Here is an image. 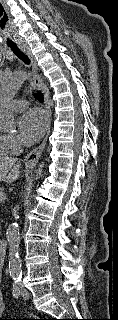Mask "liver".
<instances>
[{
    "label": "liver",
    "instance_id": "6515ba94",
    "mask_svg": "<svg viewBox=\"0 0 118 320\" xmlns=\"http://www.w3.org/2000/svg\"><path fill=\"white\" fill-rule=\"evenodd\" d=\"M21 164L16 158L0 157V182H14L21 177Z\"/></svg>",
    "mask_w": 118,
    "mask_h": 320
}]
</instances>
